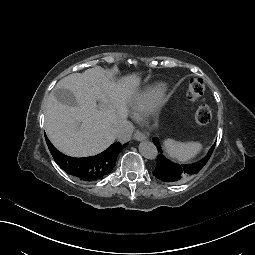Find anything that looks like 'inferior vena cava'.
<instances>
[{"instance_id": "1", "label": "inferior vena cava", "mask_w": 255, "mask_h": 255, "mask_svg": "<svg viewBox=\"0 0 255 255\" xmlns=\"http://www.w3.org/2000/svg\"><path fill=\"white\" fill-rule=\"evenodd\" d=\"M134 127L131 123H124L122 124L116 134V138L121 142L129 141L131 138V135L133 133Z\"/></svg>"}]
</instances>
